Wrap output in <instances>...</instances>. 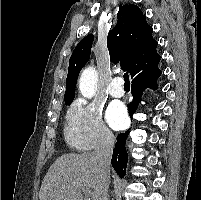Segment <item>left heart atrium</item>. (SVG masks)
I'll return each mask as SVG.
<instances>
[{
	"mask_svg": "<svg viewBox=\"0 0 201 200\" xmlns=\"http://www.w3.org/2000/svg\"><path fill=\"white\" fill-rule=\"evenodd\" d=\"M126 111L122 104L112 103L107 110V121L111 127L121 129L126 124Z\"/></svg>",
	"mask_w": 201,
	"mask_h": 200,
	"instance_id": "obj_1",
	"label": "left heart atrium"
}]
</instances>
